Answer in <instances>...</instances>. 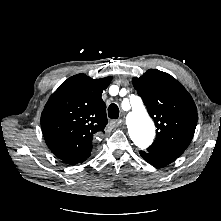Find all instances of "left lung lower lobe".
Masks as SVG:
<instances>
[{"mask_svg": "<svg viewBox=\"0 0 221 221\" xmlns=\"http://www.w3.org/2000/svg\"><path fill=\"white\" fill-rule=\"evenodd\" d=\"M141 156L145 161L154 166H165L176 160V157H171L162 154H154L149 152L140 151Z\"/></svg>", "mask_w": 221, "mask_h": 221, "instance_id": "0a47b994", "label": "left lung lower lobe"}]
</instances>
